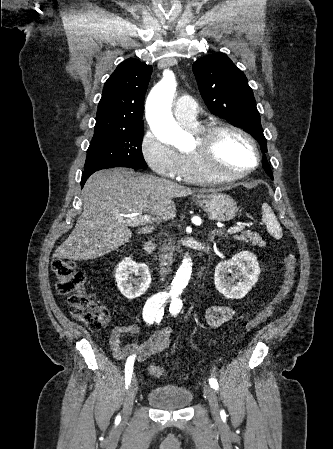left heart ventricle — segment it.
Segmentation results:
<instances>
[{
  "label": "left heart ventricle",
  "instance_id": "left-heart-ventricle-1",
  "mask_svg": "<svg viewBox=\"0 0 333 449\" xmlns=\"http://www.w3.org/2000/svg\"><path fill=\"white\" fill-rule=\"evenodd\" d=\"M254 163L255 153L244 138L235 133H225L219 138L213 162L217 170L236 174L250 168Z\"/></svg>",
  "mask_w": 333,
  "mask_h": 449
}]
</instances>
